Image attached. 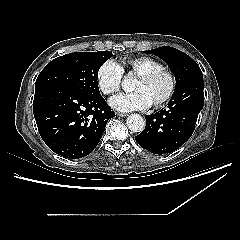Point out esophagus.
Here are the masks:
<instances>
[{"label": "esophagus", "instance_id": "obj_1", "mask_svg": "<svg viewBox=\"0 0 240 240\" xmlns=\"http://www.w3.org/2000/svg\"><path fill=\"white\" fill-rule=\"evenodd\" d=\"M116 114H117L118 116H122V117L127 116V114H125V113H120V112H117Z\"/></svg>", "mask_w": 240, "mask_h": 240}]
</instances>
